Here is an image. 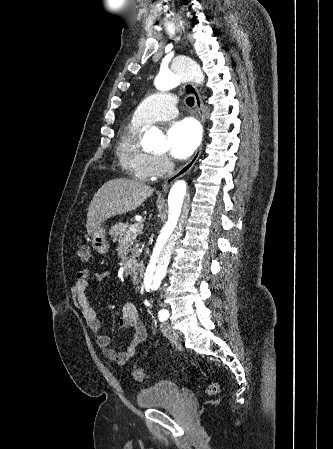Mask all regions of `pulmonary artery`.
I'll return each instance as SVG.
<instances>
[{"mask_svg": "<svg viewBox=\"0 0 333 449\" xmlns=\"http://www.w3.org/2000/svg\"><path fill=\"white\" fill-rule=\"evenodd\" d=\"M177 115L176 97L170 93H156L142 101L134 113V119L143 125L168 120Z\"/></svg>", "mask_w": 333, "mask_h": 449, "instance_id": "pulmonary-artery-1", "label": "pulmonary artery"}]
</instances>
